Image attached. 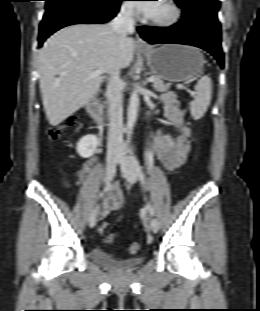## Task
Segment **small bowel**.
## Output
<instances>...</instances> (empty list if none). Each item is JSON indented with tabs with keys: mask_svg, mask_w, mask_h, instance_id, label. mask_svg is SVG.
Masks as SVG:
<instances>
[{
	"mask_svg": "<svg viewBox=\"0 0 260 311\" xmlns=\"http://www.w3.org/2000/svg\"><path fill=\"white\" fill-rule=\"evenodd\" d=\"M164 105V128L154 140V148L157 157L168 171H173L182 165L188 156L187 140L191 136V130L186 124L183 113L179 107L178 101L173 93H167L163 96ZM169 130L176 136V143L171 146L164 138L163 133ZM80 181H83L81 176ZM65 187L70 186L66 177L62 178ZM124 206L123 194L120 185L115 182L105 199L102 206V216H106L111 211L121 210Z\"/></svg>",
	"mask_w": 260,
	"mask_h": 311,
	"instance_id": "c3829d8e",
	"label": "small bowel"
}]
</instances>
